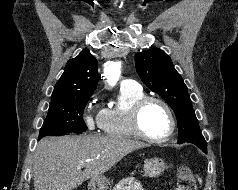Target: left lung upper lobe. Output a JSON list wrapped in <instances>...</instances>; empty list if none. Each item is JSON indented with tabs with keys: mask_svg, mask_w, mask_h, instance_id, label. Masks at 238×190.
I'll use <instances>...</instances> for the list:
<instances>
[{
	"mask_svg": "<svg viewBox=\"0 0 238 190\" xmlns=\"http://www.w3.org/2000/svg\"><path fill=\"white\" fill-rule=\"evenodd\" d=\"M135 63L145 85L159 94L175 112L179 128L178 143L189 142L207 152L187 87L170 57L160 49H151L137 53Z\"/></svg>",
	"mask_w": 238,
	"mask_h": 190,
	"instance_id": "1",
	"label": "left lung upper lobe"
}]
</instances>
